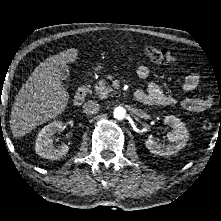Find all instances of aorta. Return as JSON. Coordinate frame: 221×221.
Wrapping results in <instances>:
<instances>
[{
  "label": "aorta",
  "mask_w": 221,
  "mask_h": 221,
  "mask_svg": "<svg viewBox=\"0 0 221 221\" xmlns=\"http://www.w3.org/2000/svg\"><path fill=\"white\" fill-rule=\"evenodd\" d=\"M126 115H127L126 110H125V108L122 107V106L116 107V108L114 109V111H113V117L116 118V119H118V120H123V119H125V118H126Z\"/></svg>",
  "instance_id": "aorta-1"
}]
</instances>
